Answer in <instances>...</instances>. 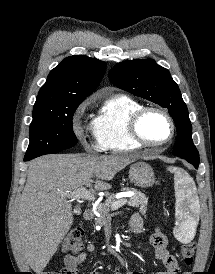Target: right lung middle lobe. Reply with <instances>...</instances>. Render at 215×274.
Listing matches in <instances>:
<instances>
[{
	"mask_svg": "<svg viewBox=\"0 0 215 274\" xmlns=\"http://www.w3.org/2000/svg\"><path fill=\"white\" fill-rule=\"evenodd\" d=\"M80 103H35L24 160L54 154L77 143L72 118Z\"/></svg>",
	"mask_w": 215,
	"mask_h": 274,
	"instance_id": "1",
	"label": "right lung middle lobe"
}]
</instances>
